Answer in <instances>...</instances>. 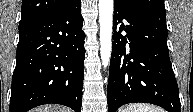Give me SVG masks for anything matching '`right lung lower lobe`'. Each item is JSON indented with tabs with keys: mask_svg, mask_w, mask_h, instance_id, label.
Instances as JSON below:
<instances>
[{
	"mask_svg": "<svg viewBox=\"0 0 193 112\" xmlns=\"http://www.w3.org/2000/svg\"><path fill=\"white\" fill-rule=\"evenodd\" d=\"M81 0L19 29L12 78L10 112H27L43 104H62L80 112L84 79Z\"/></svg>",
	"mask_w": 193,
	"mask_h": 112,
	"instance_id": "obj_1",
	"label": "right lung lower lobe"
}]
</instances>
